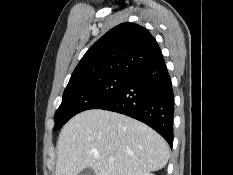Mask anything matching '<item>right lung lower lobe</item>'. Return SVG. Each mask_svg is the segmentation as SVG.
Wrapping results in <instances>:
<instances>
[{"label": "right lung lower lobe", "mask_w": 233, "mask_h": 175, "mask_svg": "<svg viewBox=\"0 0 233 175\" xmlns=\"http://www.w3.org/2000/svg\"><path fill=\"white\" fill-rule=\"evenodd\" d=\"M97 109L125 114L149 125L172 147L174 96L164 58L132 75L113 98Z\"/></svg>", "instance_id": "98d812e1"}]
</instances>
